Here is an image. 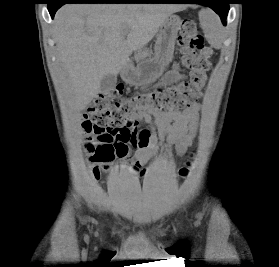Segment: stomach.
<instances>
[{
    "mask_svg": "<svg viewBox=\"0 0 279 267\" xmlns=\"http://www.w3.org/2000/svg\"><path fill=\"white\" fill-rule=\"evenodd\" d=\"M181 25L180 17L168 16L157 34L154 57L138 63L137 66L126 65L120 73L122 79L132 86L156 82L173 59L174 45Z\"/></svg>",
    "mask_w": 279,
    "mask_h": 267,
    "instance_id": "stomach-1",
    "label": "stomach"
}]
</instances>
